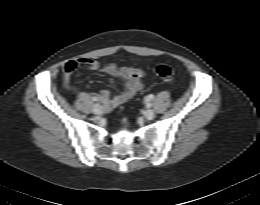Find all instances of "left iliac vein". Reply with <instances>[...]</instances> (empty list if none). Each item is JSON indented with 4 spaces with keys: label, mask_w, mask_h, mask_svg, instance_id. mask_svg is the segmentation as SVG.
I'll return each mask as SVG.
<instances>
[{
    "label": "left iliac vein",
    "mask_w": 260,
    "mask_h": 205,
    "mask_svg": "<svg viewBox=\"0 0 260 205\" xmlns=\"http://www.w3.org/2000/svg\"><path fill=\"white\" fill-rule=\"evenodd\" d=\"M144 117H145L147 120H152V119L155 117V112H154V110H152V109H147V110L144 112Z\"/></svg>",
    "instance_id": "left-iliac-vein-1"
}]
</instances>
